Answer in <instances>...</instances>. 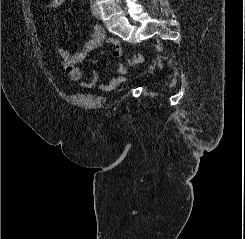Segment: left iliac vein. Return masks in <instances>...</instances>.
Here are the masks:
<instances>
[{
    "label": "left iliac vein",
    "instance_id": "4c4485c4",
    "mask_svg": "<svg viewBox=\"0 0 245 239\" xmlns=\"http://www.w3.org/2000/svg\"><path fill=\"white\" fill-rule=\"evenodd\" d=\"M95 12H96V17L98 19H101V12H100L98 5H96V4H95Z\"/></svg>",
    "mask_w": 245,
    "mask_h": 239
}]
</instances>
